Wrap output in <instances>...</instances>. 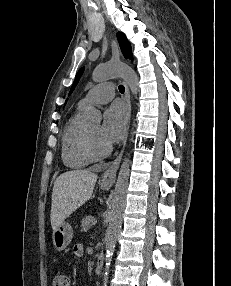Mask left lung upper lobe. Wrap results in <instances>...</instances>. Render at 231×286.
Masks as SVG:
<instances>
[{"mask_svg": "<svg viewBox=\"0 0 231 286\" xmlns=\"http://www.w3.org/2000/svg\"><path fill=\"white\" fill-rule=\"evenodd\" d=\"M117 37H118V41H119V44H120V47H121V51L122 53L124 54V57L125 58H132V53H131V46H130V43L128 42V40L126 39L125 35L121 32L117 33ZM83 70L84 68H81L77 75H76V78H75V81L72 85V88L70 90V93H72V91L74 90L76 84L78 83L79 81V78L81 77L82 73H83Z\"/></svg>", "mask_w": 231, "mask_h": 286, "instance_id": "5c2ea615", "label": "left lung upper lobe"}]
</instances>
